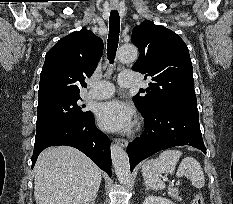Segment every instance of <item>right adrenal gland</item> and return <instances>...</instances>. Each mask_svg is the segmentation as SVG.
<instances>
[{
	"instance_id": "1",
	"label": "right adrenal gland",
	"mask_w": 233,
	"mask_h": 204,
	"mask_svg": "<svg viewBox=\"0 0 233 204\" xmlns=\"http://www.w3.org/2000/svg\"><path fill=\"white\" fill-rule=\"evenodd\" d=\"M96 197H97V195L93 198V200L91 201L90 204H94Z\"/></svg>"
}]
</instances>
